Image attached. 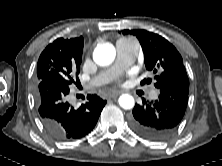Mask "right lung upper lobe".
<instances>
[{"label":"right lung upper lobe","instance_id":"obj_1","mask_svg":"<svg viewBox=\"0 0 222 166\" xmlns=\"http://www.w3.org/2000/svg\"><path fill=\"white\" fill-rule=\"evenodd\" d=\"M75 46V39L58 38L53 43L49 44L44 51H67Z\"/></svg>","mask_w":222,"mask_h":166}]
</instances>
